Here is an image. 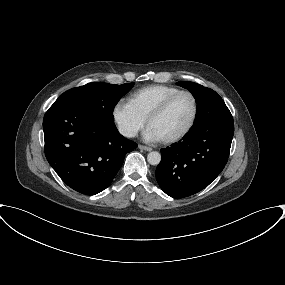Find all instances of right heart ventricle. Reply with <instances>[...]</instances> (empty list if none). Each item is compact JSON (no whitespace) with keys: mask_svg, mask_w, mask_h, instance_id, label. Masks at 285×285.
Wrapping results in <instances>:
<instances>
[{"mask_svg":"<svg viewBox=\"0 0 285 285\" xmlns=\"http://www.w3.org/2000/svg\"><path fill=\"white\" fill-rule=\"evenodd\" d=\"M178 91L180 89L174 86L150 85L133 92L129 98V103L146 120L161 102Z\"/></svg>","mask_w":285,"mask_h":285,"instance_id":"1","label":"right heart ventricle"}]
</instances>
